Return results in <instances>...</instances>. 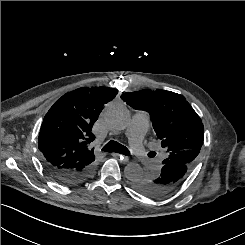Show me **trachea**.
Segmentation results:
<instances>
[{
	"instance_id": "1",
	"label": "trachea",
	"mask_w": 245,
	"mask_h": 245,
	"mask_svg": "<svg viewBox=\"0 0 245 245\" xmlns=\"http://www.w3.org/2000/svg\"><path fill=\"white\" fill-rule=\"evenodd\" d=\"M102 151H105V152H116V153H120V154H123V155H130V152L129 150L121 145L120 143L116 142V141H109L103 148H102Z\"/></svg>"
}]
</instances>
